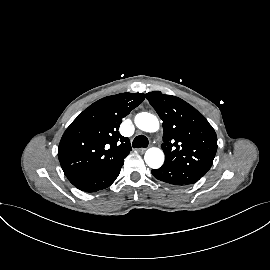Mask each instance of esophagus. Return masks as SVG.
Instances as JSON below:
<instances>
[{"mask_svg": "<svg viewBox=\"0 0 270 270\" xmlns=\"http://www.w3.org/2000/svg\"><path fill=\"white\" fill-rule=\"evenodd\" d=\"M138 150V152H140V153H144L145 151H146V148H139V149H137Z\"/></svg>", "mask_w": 270, "mask_h": 270, "instance_id": "34e87169", "label": "esophagus"}]
</instances>
